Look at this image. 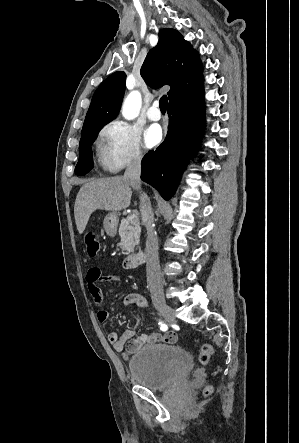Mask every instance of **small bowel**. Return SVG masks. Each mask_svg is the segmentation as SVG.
<instances>
[{
	"label": "small bowel",
	"instance_id": "small-bowel-1",
	"mask_svg": "<svg viewBox=\"0 0 299 443\" xmlns=\"http://www.w3.org/2000/svg\"><path fill=\"white\" fill-rule=\"evenodd\" d=\"M118 276H103L98 268H91L86 275L87 287L89 294L98 308L97 319L100 322H105L109 319V312L104 308V301L102 292L98 283L103 280H117ZM126 306L136 305L143 309H148L149 305L146 298L139 293H129L124 298ZM108 340L117 352H121L124 358H129L133 353L141 347L149 344L165 343L173 344L177 340V335L174 332L165 334L160 333H142L134 337L132 329H126L121 335L117 332H109Z\"/></svg>",
	"mask_w": 299,
	"mask_h": 443
}]
</instances>
